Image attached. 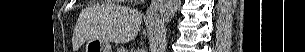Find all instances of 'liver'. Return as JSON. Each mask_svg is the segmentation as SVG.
Segmentation results:
<instances>
[{
  "instance_id": "liver-1",
  "label": "liver",
  "mask_w": 305,
  "mask_h": 52,
  "mask_svg": "<svg viewBox=\"0 0 305 52\" xmlns=\"http://www.w3.org/2000/svg\"><path fill=\"white\" fill-rule=\"evenodd\" d=\"M141 22L142 15L139 11L121 5H110L105 23L99 28L93 27V30L86 26L88 35H85L76 45L79 47L82 41L90 38L127 43L137 36Z\"/></svg>"
}]
</instances>
